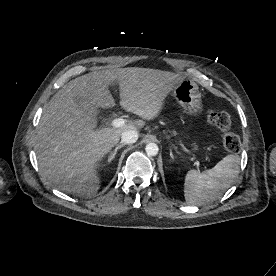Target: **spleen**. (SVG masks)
Returning a JSON list of instances; mask_svg holds the SVG:
<instances>
[{"label": "spleen", "instance_id": "1", "mask_svg": "<svg viewBox=\"0 0 276 276\" xmlns=\"http://www.w3.org/2000/svg\"><path fill=\"white\" fill-rule=\"evenodd\" d=\"M239 164V156L227 155L212 169L201 173L197 170L188 171L184 182L186 202L203 205L220 198L237 177Z\"/></svg>", "mask_w": 276, "mask_h": 276}]
</instances>
